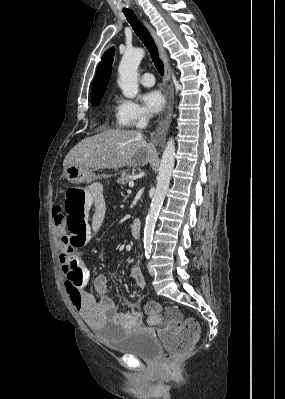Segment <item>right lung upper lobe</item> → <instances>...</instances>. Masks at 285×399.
Instances as JSON below:
<instances>
[{"label": "right lung upper lobe", "mask_w": 285, "mask_h": 399, "mask_svg": "<svg viewBox=\"0 0 285 399\" xmlns=\"http://www.w3.org/2000/svg\"><path fill=\"white\" fill-rule=\"evenodd\" d=\"M114 51L115 48L112 47L108 49L102 56L96 76L93 80L91 97L104 93L111 76Z\"/></svg>", "instance_id": "1"}]
</instances>
